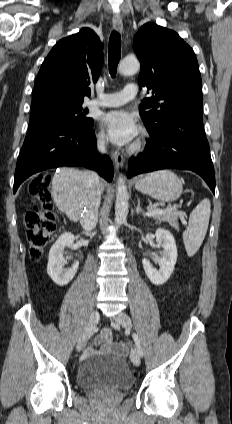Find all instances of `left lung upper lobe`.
<instances>
[{"label":"left lung upper lobe","instance_id":"5c2ea615","mask_svg":"<svg viewBox=\"0 0 232 424\" xmlns=\"http://www.w3.org/2000/svg\"><path fill=\"white\" fill-rule=\"evenodd\" d=\"M134 49L141 63L139 84L154 94L139 107L149 131H158L174 115L202 113L198 62L191 47L176 32L147 23L135 35Z\"/></svg>","mask_w":232,"mask_h":424}]
</instances>
